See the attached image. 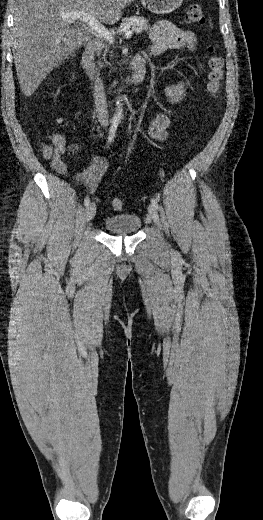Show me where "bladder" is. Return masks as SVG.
<instances>
[{
	"label": "bladder",
	"instance_id": "bladder-1",
	"mask_svg": "<svg viewBox=\"0 0 263 520\" xmlns=\"http://www.w3.org/2000/svg\"><path fill=\"white\" fill-rule=\"evenodd\" d=\"M104 229L111 234H134L142 227V219L135 213H121L107 216L103 223Z\"/></svg>",
	"mask_w": 263,
	"mask_h": 520
}]
</instances>
